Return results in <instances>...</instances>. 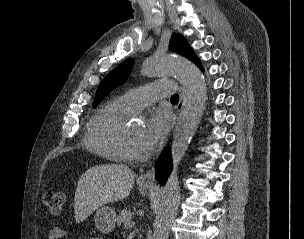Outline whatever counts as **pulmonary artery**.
<instances>
[{"mask_svg": "<svg viewBox=\"0 0 304 239\" xmlns=\"http://www.w3.org/2000/svg\"><path fill=\"white\" fill-rule=\"evenodd\" d=\"M174 91L173 82L162 81L129 90L120 97V100L131 109L137 110L173 94Z\"/></svg>", "mask_w": 304, "mask_h": 239, "instance_id": "e3ab8cb5", "label": "pulmonary artery"}]
</instances>
